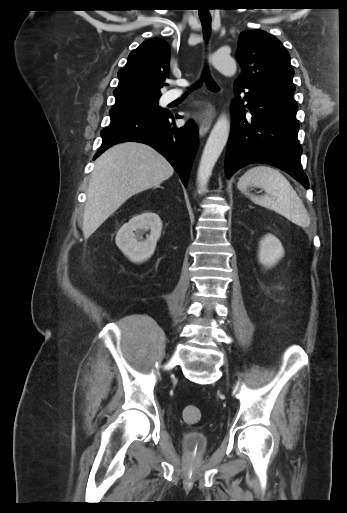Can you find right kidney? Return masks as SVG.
Returning <instances> with one entry per match:
<instances>
[{
	"label": "right kidney",
	"instance_id": "1",
	"mask_svg": "<svg viewBox=\"0 0 347 513\" xmlns=\"http://www.w3.org/2000/svg\"><path fill=\"white\" fill-rule=\"evenodd\" d=\"M147 230H150V234L144 239L143 234ZM161 230L159 215L144 212L134 216L119 229L116 245L132 262L142 263L153 255Z\"/></svg>",
	"mask_w": 347,
	"mask_h": 513
}]
</instances>
